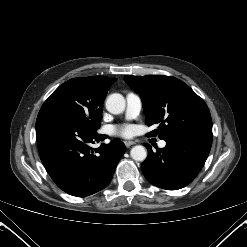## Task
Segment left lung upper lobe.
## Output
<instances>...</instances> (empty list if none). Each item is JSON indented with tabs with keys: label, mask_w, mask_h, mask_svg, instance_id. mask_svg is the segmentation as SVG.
Returning a JSON list of instances; mask_svg holds the SVG:
<instances>
[{
	"label": "left lung upper lobe",
	"mask_w": 247,
	"mask_h": 247,
	"mask_svg": "<svg viewBox=\"0 0 247 247\" xmlns=\"http://www.w3.org/2000/svg\"><path fill=\"white\" fill-rule=\"evenodd\" d=\"M124 80L140 95L147 125L159 124L149 135L164 139L188 129L212 128L207 105L181 80L163 75H125Z\"/></svg>",
	"instance_id": "obj_1"
}]
</instances>
